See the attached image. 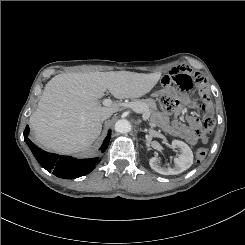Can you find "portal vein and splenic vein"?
Here are the masks:
<instances>
[{
	"label": "portal vein and splenic vein",
	"instance_id": "portal-vein-and-splenic-vein-1",
	"mask_svg": "<svg viewBox=\"0 0 245 245\" xmlns=\"http://www.w3.org/2000/svg\"><path fill=\"white\" fill-rule=\"evenodd\" d=\"M111 103H112V101H111L110 99H104V100H103V105H104V106H109V105H111ZM121 105L124 106V107H127V108H131V109H133V110H135L136 107H137L136 104H134V103H122ZM142 117H143V120H144V121H147L148 118L150 117L149 111L146 110V111L143 113Z\"/></svg>",
	"mask_w": 245,
	"mask_h": 245
}]
</instances>
